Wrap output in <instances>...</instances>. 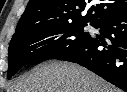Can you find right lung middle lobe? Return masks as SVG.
<instances>
[{
	"instance_id": "dd1d6c3e",
	"label": "right lung middle lobe",
	"mask_w": 127,
	"mask_h": 92,
	"mask_svg": "<svg viewBox=\"0 0 127 92\" xmlns=\"http://www.w3.org/2000/svg\"><path fill=\"white\" fill-rule=\"evenodd\" d=\"M87 23L62 26H41L11 39L9 45L7 78H11L24 65L56 58L86 41L90 34L84 32Z\"/></svg>"
}]
</instances>
